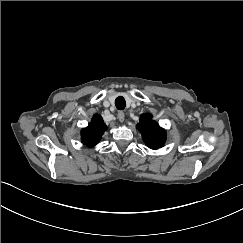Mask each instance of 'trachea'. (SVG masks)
Returning a JSON list of instances; mask_svg holds the SVG:
<instances>
[{
  "mask_svg": "<svg viewBox=\"0 0 243 243\" xmlns=\"http://www.w3.org/2000/svg\"><path fill=\"white\" fill-rule=\"evenodd\" d=\"M115 106L118 110H123L126 106V101L123 97H117L115 99Z\"/></svg>",
  "mask_w": 243,
  "mask_h": 243,
  "instance_id": "3493384b",
  "label": "trachea"
}]
</instances>
